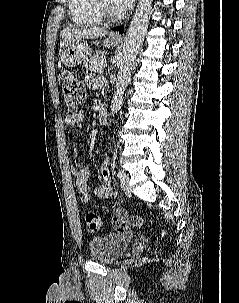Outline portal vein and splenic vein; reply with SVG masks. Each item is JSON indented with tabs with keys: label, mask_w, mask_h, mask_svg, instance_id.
<instances>
[{
	"label": "portal vein and splenic vein",
	"mask_w": 239,
	"mask_h": 303,
	"mask_svg": "<svg viewBox=\"0 0 239 303\" xmlns=\"http://www.w3.org/2000/svg\"><path fill=\"white\" fill-rule=\"evenodd\" d=\"M100 65L103 66V67H106L107 66V61L106 60L101 61Z\"/></svg>",
	"instance_id": "1"
}]
</instances>
